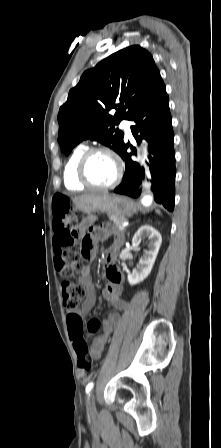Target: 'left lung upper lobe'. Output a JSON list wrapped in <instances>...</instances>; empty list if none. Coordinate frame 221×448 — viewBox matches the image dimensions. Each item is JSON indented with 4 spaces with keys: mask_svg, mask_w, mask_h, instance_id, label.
Segmentation results:
<instances>
[{
    "mask_svg": "<svg viewBox=\"0 0 221 448\" xmlns=\"http://www.w3.org/2000/svg\"><path fill=\"white\" fill-rule=\"evenodd\" d=\"M165 87L150 53L133 45L117 51L83 73L58 114V142L65 155L82 140H97L118 154L124 133L115 129L132 120L144 103ZM116 109L114 115L111 109Z\"/></svg>",
    "mask_w": 221,
    "mask_h": 448,
    "instance_id": "5c2ea615",
    "label": "left lung upper lobe"
}]
</instances>
